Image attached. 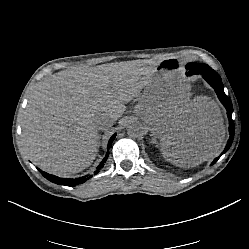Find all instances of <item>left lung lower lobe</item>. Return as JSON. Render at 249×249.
I'll return each instance as SVG.
<instances>
[{"mask_svg": "<svg viewBox=\"0 0 249 249\" xmlns=\"http://www.w3.org/2000/svg\"><path fill=\"white\" fill-rule=\"evenodd\" d=\"M187 75H192V74L187 73ZM201 75L209 83V85L212 88H214L219 100L222 102V104L224 105V107L227 110V116H228L229 124H230L229 125L230 137H229V140L226 144L225 149L221 153V155H223L230 148L232 141H233V137H234V125H233V121H232V106H231L229 98L224 93V87H223L221 78L218 75V73L216 71H214L213 69H211L209 71V73H204ZM218 159H219V157L215 158L214 161L212 162V164L216 163Z\"/></svg>", "mask_w": 249, "mask_h": 249, "instance_id": "1", "label": "left lung lower lobe"}]
</instances>
